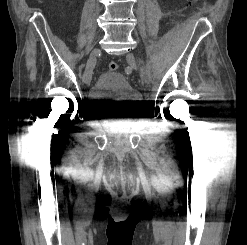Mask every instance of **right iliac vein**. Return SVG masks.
<instances>
[{"label":"right iliac vein","instance_id":"63e3f726","mask_svg":"<svg viewBox=\"0 0 247 245\" xmlns=\"http://www.w3.org/2000/svg\"><path fill=\"white\" fill-rule=\"evenodd\" d=\"M98 54V49L97 48H94L91 52V55L87 61V65H86V69H85V72L83 74V81L86 83V84H89L91 82V79H92V71H93V68L95 66V61H96V58L95 56Z\"/></svg>","mask_w":247,"mask_h":245}]
</instances>
